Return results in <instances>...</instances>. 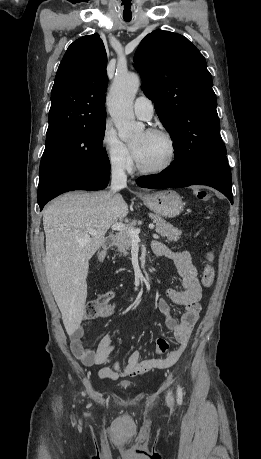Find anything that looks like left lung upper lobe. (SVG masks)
<instances>
[{
  "label": "left lung upper lobe",
  "mask_w": 261,
  "mask_h": 459,
  "mask_svg": "<svg viewBox=\"0 0 261 459\" xmlns=\"http://www.w3.org/2000/svg\"><path fill=\"white\" fill-rule=\"evenodd\" d=\"M134 63L142 90L174 140L170 166L186 172L200 161L226 155L212 77L199 50L182 35L156 30L142 40Z\"/></svg>",
  "instance_id": "1"
}]
</instances>
